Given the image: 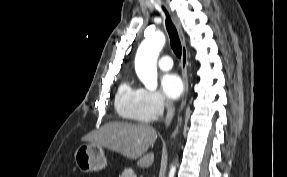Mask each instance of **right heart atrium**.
<instances>
[{"label": "right heart atrium", "instance_id": "d8ad5b80", "mask_svg": "<svg viewBox=\"0 0 287 177\" xmlns=\"http://www.w3.org/2000/svg\"><path fill=\"white\" fill-rule=\"evenodd\" d=\"M141 93L144 115L150 120L162 116L168 105L161 93L147 89H141Z\"/></svg>", "mask_w": 287, "mask_h": 177}]
</instances>
